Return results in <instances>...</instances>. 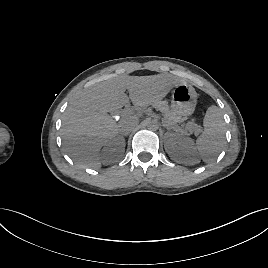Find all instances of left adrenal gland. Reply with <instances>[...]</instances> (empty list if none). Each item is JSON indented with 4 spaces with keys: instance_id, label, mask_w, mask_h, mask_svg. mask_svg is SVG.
Instances as JSON below:
<instances>
[{
    "instance_id": "left-adrenal-gland-1",
    "label": "left adrenal gland",
    "mask_w": 268,
    "mask_h": 268,
    "mask_svg": "<svg viewBox=\"0 0 268 268\" xmlns=\"http://www.w3.org/2000/svg\"><path fill=\"white\" fill-rule=\"evenodd\" d=\"M163 127H165L167 130H170L171 128L168 126V125H166L165 123H163Z\"/></svg>"
}]
</instances>
